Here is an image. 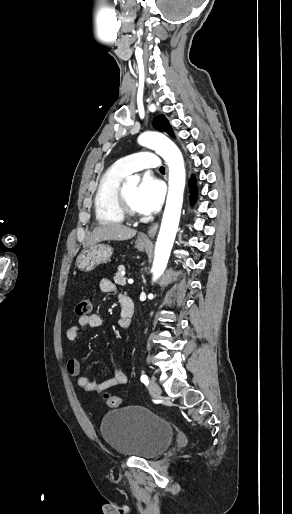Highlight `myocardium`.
Wrapping results in <instances>:
<instances>
[{
  "label": "myocardium",
  "mask_w": 292,
  "mask_h": 514,
  "mask_svg": "<svg viewBox=\"0 0 292 514\" xmlns=\"http://www.w3.org/2000/svg\"><path fill=\"white\" fill-rule=\"evenodd\" d=\"M113 203L116 211L123 216L124 219L137 220L142 215L140 212L133 210L127 203L124 193L123 186L120 185L114 193Z\"/></svg>",
  "instance_id": "1"
}]
</instances>
